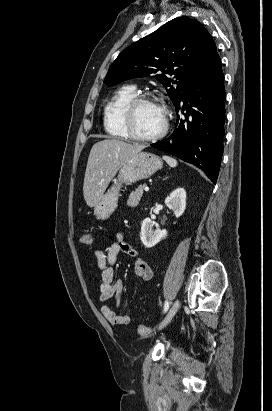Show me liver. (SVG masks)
Listing matches in <instances>:
<instances>
[{
    "label": "liver",
    "mask_w": 272,
    "mask_h": 411,
    "mask_svg": "<svg viewBox=\"0 0 272 411\" xmlns=\"http://www.w3.org/2000/svg\"><path fill=\"white\" fill-rule=\"evenodd\" d=\"M144 148L145 145L115 139H105L92 146L83 184L84 199L89 207L100 202L119 168Z\"/></svg>",
    "instance_id": "6515ba94"
}]
</instances>
